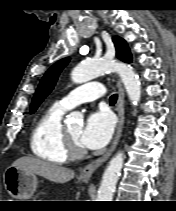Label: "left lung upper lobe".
<instances>
[{"mask_svg":"<svg viewBox=\"0 0 176 211\" xmlns=\"http://www.w3.org/2000/svg\"><path fill=\"white\" fill-rule=\"evenodd\" d=\"M113 42L116 47V56L125 62H131L132 57L125 40H123L120 37L115 36L113 37ZM69 60L70 58L61 59L60 61L55 63L53 66H51L50 69L45 73L33 97V100L31 103V113L35 112L39 104L54 88V85L57 81V78L60 72L67 65Z\"/></svg>","mask_w":176,"mask_h":211,"instance_id":"5c2ea615","label":"left lung upper lobe"}]
</instances>
